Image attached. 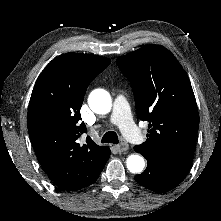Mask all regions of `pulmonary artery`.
Returning <instances> with one entry per match:
<instances>
[{"mask_svg": "<svg viewBox=\"0 0 221 221\" xmlns=\"http://www.w3.org/2000/svg\"><path fill=\"white\" fill-rule=\"evenodd\" d=\"M110 122L117 125L132 143L138 144L142 141L141 132L132 120L128 102L123 95H118L114 100Z\"/></svg>", "mask_w": 221, "mask_h": 221, "instance_id": "obj_1", "label": "pulmonary artery"}]
</instances>
